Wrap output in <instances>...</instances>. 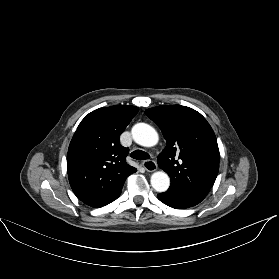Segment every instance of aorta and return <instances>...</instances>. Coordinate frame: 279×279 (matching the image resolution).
Instances as JSON below:
<instances>
[{
    "instance_id": "obj_1",
    "label": "aorta",
    "mask_w": 279,
    "mask_h": 279,
    "mask_svg": "<svg viewBox=\"0 0 279 279\" xmlns=\"http://www.w3.org/2000/svg\"><path fill=\"white\" fill-rule=\"evenodd\" d=\"M131 134L133 140L141 146L151 147L158 142V134L156 130L146 123H138L134 125ZM150 182L151 186L157 192H165L170 186V178L163 171L153 173Z\"/></svg>"
}]
</instances>
